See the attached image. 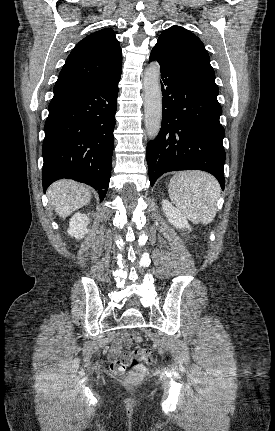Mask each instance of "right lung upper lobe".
Segmentation results:
<instances>
[{"instance_id": "obj_1", "label": "right lung upper lobe", "mask_w": 275, "mask_h": 431, "mask_svg": "<svg viewBox=\"0 0 275 431\" xmlns=\"http://www.w3.org/2000/svg\"><path fill=\"white\" fill-rule=\"evenodd\" d=\"M122 52L114 31L105 28L82 39L68 56L53 92L105 84L121 73Z\"/></svg>"}]
</instances>
